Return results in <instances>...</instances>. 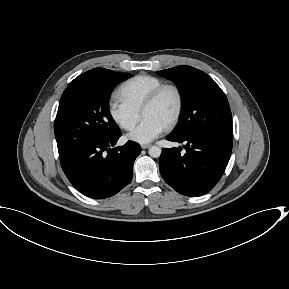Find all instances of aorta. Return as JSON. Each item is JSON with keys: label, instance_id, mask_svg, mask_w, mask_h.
Listing matches in <instances>:
<instances>
[{"label": "aorta", "instance_id": "1", "mask_svg": "<svg viewBox=\"0 0 289 289\" xmlns=\"http://www.w3.org/2000/svg\"><path fill=\"white\" fill-rule=\"evenodd\" d=\"M149 155L153 158H158L161 155V148L158 146H152L148 151Z\"/></svg>", "mask_w": 289, "mask_h": 289}]
</instances>
